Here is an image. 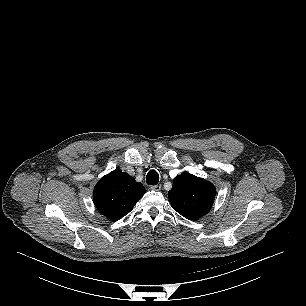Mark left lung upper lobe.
<instances>
[{
  "instance_id": "left-lung-upper-lobe-1",
  "label": "left lung upper lobe",
  "mask_w": 306,
  "mask_h": 306,
  "mask_svg": "<svg viewBox=\"0 0 306 306\" xmlns=\"http://www.w3.org/2000/svg\"><path fill=\"white\" fill-rule=\"evenodd\" d=\"M215 193V188L210 182L183 173L174 178L168 197L175 211L189 220H196L210 210Z\"/></svg>"
}]
</instances>
